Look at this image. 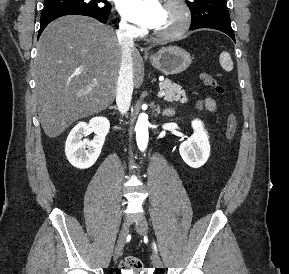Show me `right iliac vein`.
Returning <instances> with one entry per match:
<instances>
[{
    "mask_svg": "<svg viewBox=\"0 0 289 274\" xmlns=\"http://www.w3.org/2000/svg\"><path fill=\"white\" fill-rule=\"evenodd\" d=\"M128 233H129V224L127 221H125L121 227V230L117 239V243H116V247L114 251L115 260H117L122 254Z\"/></svg>",
    "mask_w": 289,
    "mask_h": 274,
    "instance_id": "1",
    "label": "right iliac vein"
}]
</instances>
